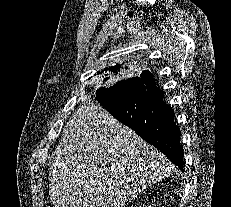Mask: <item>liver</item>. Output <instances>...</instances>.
Here are the masks:
<instances>
[{
	"instance_id": "liver-1",
	"label": "liver",
	"mask_w": 231,
	"mask_h": 207,
	"mask_svg": "<svg viewBox=\"0 0 231 207\" xmlns=\"http://www.w3.org/2000/svg\"><path fill=\"white\" fill-rule=\"evenodd\" d=\"M49 172L55 207H126L170 173L166 157L97 103L68 120Z\"/></svg>"
}]
</instances>
